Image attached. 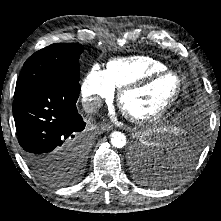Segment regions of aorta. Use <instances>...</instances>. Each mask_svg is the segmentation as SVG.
Masks as SVG:
<instances>
[{"label":"aorta","mask_w":221,"mask_h":221,"mask_svg":"<svg viewBox=\"0 0 221 221\" xmlns=\"http://www.w3.org/2000/svg\"><path fill=\"white\" fill-rule=\"evenodd\" d=\"M110 142L113 147L120 149V148L125 147L127 140H126V136L122 132L115 131V132H112L110 135Z\"/></svg>","instance_id":"762f6f07"}]
</instances>
